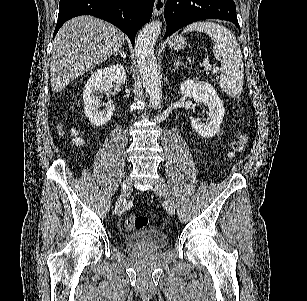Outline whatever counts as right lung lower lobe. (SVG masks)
Segmentation results:
<instances>
[{
	"label": "right lung lower lobe",
	"mask_w": 307,
	"mask_h": 301,
	"mask_svg": "<svg viewBox=\"0 0 307 301\" xmlns=\"http://www.w3.org/2000/svg\"><path fill=\"white\" fill-rule=\"evenodd\" d=\"M153 6L154 0H60L54 36L67 20L88 14L118 27L134 46L135 34L150 20Z\"/></svg>",
	"instance_id": "1"
}]
</instances>
